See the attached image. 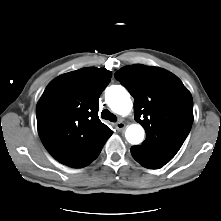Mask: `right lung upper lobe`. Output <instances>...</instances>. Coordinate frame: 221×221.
Listing matches in <instances>:
<instances>
[{
  "label": "right lung upper lobe",
  "mask_w": 221,
  "mask_h": 221,
  "mask_svg": "<svg viewBox=\"0 0 221 221\" xmlns=\"http://www.w3.org/2000/svg\"><path fill=\"white\" fill-rule=\"evenodd\" d=\"M105 68L87 67L55 78L37 108V126L47 151L69 165L112 132L98 117L99 96L111 80Z\"/></svg>",
  "instance_id": "obj_1"
}]
</instances>
